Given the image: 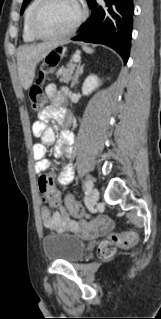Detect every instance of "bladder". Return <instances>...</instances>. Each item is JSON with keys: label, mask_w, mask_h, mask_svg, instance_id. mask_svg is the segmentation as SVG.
Masks as SVG:
<instances>
[{"label": "bladder", "mask_w": 161, "mask_h": 319, "mask_svg": "<svg viewBox=\"0 0 161 319\" xmlns=\"http://www.w3.org/2000/svg\"><path fill=\"white\" fill-rule=\"evenodd\" d=\"M86 250V243L76 235H47L43 240V251L48 260L75 262Z\"/></svg>", "instance_id": "1"}]
</instances>
